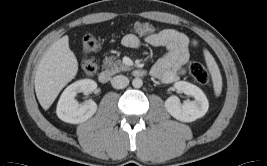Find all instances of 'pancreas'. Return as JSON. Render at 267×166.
<instances>
[{
	"label": "pancreas",
	"instance_id": "pancreas-1",
	"mask_svg": "<svg viewBox=\"0 0 267 166\" xmlns=\"http://www.w3.org/2000/svg\"><path fill=\"white\" fill-rule=\"evenodd\" d=\"M103 67L106 68V70L110 74H116L121 71H127L130 70V68L123 64L121 60H116L115 57H106L103 61Z\"/></svg>",
	"mask_w": 267,
	"mask_h": 166
}]
</instances>
